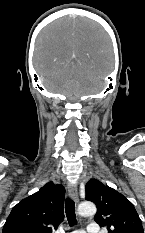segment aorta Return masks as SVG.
I'll list each match as a JSON object with an SVG mask.
<instances>
[{
	"label": "aorta",
	"mask_w": 145,
	"mask_h": 233,
	"mask_svg": "<svg viewBox=\"0 0 145 233\" xmlns=\"http://www.w3.org/2000/svg\"><path fill=\"white\" fill-rule=\"evenodd\" d=\"M96 206L92 202L81 203L78 207V214L80 216L88 217L96 214Z\"/></svg>",
	"instance_id": "762f6f07"
}]
</instances>
